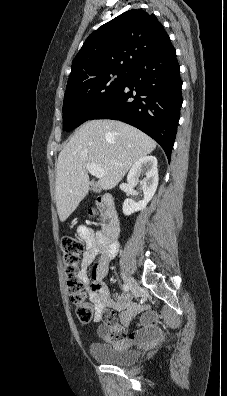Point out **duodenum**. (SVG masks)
Masks as SVG:
<instances>
[{"mask_svg":"<svg viewBox=\"0 0 227 396\" xmlns=\"http://www.w3.org/2000/svg\"><path fill=\"white\" fill-rule=\"evenodd\" d=\"M102 201L106 206L105 216L107 219V223L104 227L103 233L100 235L107 242L113 243L116 242L120 231L118 215L115 210L113 198L111 195L104 194L102 196Z\"/></svg>","mask_w":227,"mask_h":396,"instance_id":"410a0bca","label":"duodenum"}]
</instances>
